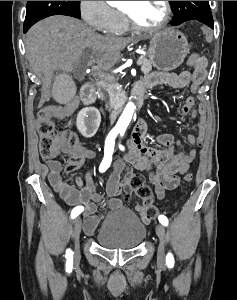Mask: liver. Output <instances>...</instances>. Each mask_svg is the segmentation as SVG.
<instances>
[{"instance_id": "liver-1", "label": "liver", "mask_w": 237, "mask_h": 300, "mask_svg": "<svg viewBox=\"0 0 237 300\" xmlns=\"http://www.w3.org/2000/svg\"><path fill=\"white\" fill-rule=\"evenodd\" d=\"M135 37H102L89 29L83 21L73 17H48L29 29L26 41L27 59L35 73L50 77L53 71L72 73L85 49L96 55V63L111 69L120 53ZM49 99V91L45 89Z\"/></svg>"}]
</instances>
